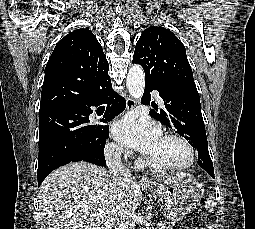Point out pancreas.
Masks as SVG:
<instances>
[{"label": "pancreas", "instance_id": "pancreas-1", "mask_svg": "<svg viewBox=\"0 0 255 229\" xmlns=\"http://www.w3.org/2000/svg\"><path fill=\"white\" fill-rule=\"evenodd\" d=\"M158 229H173L170 223L164 222Z\"/></svg>", "mask_w": 255, "mask_h": 229}]
</instances>
